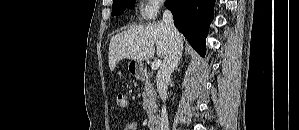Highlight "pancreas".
Masks as SVG:
<instances>
[{"instance_id": "1", "label": "pancreas", "mask_w": 299, "mask_h": 130, "mask_svg": "<svg viewBox=\"0 0 299 130\" xmlns=\"http://www.w3.org/2000/svg\"><path fill=\"white\" fill-rule=\"evenodd\" d=\"M142 81L145 84L143 89V108L147 112L148 117H152L157 111L155 90L148 77H143Z\"/></svg>"}]
</instances>
